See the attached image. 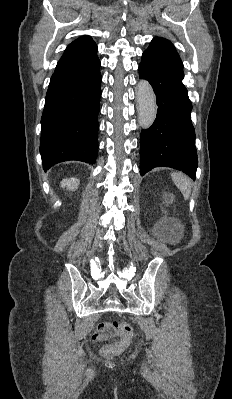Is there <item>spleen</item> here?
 I'll list each match as a JSON object with an SVG mask.
<instances>
[{
    "mask_svg": "<svg viewBox=\"0 0 232 399\" xmlns=\"http://www.w3.org/2000/svg\"><path fill=\"white\" fill-rule=\"evenodd\" d=\"M171 178L178 190L182 192L185 200H189L192 190V184L189 178L184 176V174H179V172H173V174H171Z\"/></svg>",
    "mask_w": 232,
    "mask_h": 399,
    "instance_id": "1",
    "label": "spleen"
}]
</instances>
